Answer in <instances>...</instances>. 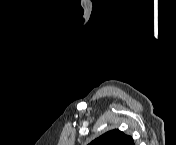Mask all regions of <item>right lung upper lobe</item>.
Wrapping results in <instances>:
<instances>
[{"label":"right lung upper lobe","mask_w":176,"mask_h":145,"mask_svg":"<svg viewBox=\"0 0 176 145\" xmlns=\"http://www.w3.org/2000/svg\"><path fill=\"white\" fill-rule=\"evenodd\" d=\"M89 145H134V143L130 136L119 130H112L101 135Z\"/></svg>","instance_id":"1"}]
</instances>
